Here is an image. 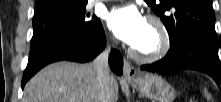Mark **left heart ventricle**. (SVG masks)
I'll return each instance as SVG.
<instances>
[{
	"label": "left heart ventricle",
	"instance_id": "left-heart-ventricle-1",
	"mask_svg": "<svg viewBox=\"0 0 221 102\" xmlns=\"http://www.w3.org/2000/svg\"><path fill=\"white\" fill-rule=\"evenodd\" d=\"M159 44L160 37L158 31L153 25L147 22L143 36L133 47L142 53H152L159 47Z\"/></svg>",
	"mask_w": 221,
	"mask_h": 102
}]
</instances>
